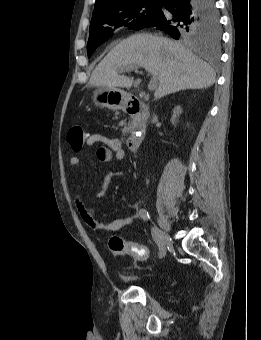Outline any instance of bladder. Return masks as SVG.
<instances>
[{
  "instance_id": "obj_1",
  "label": "bladder",
  "mask_w": 261,
  "mask_h": 340,
  "mask_svg": "<svg viewBox=\"0 0 261 340\" xmlns=\"http://www.w3.org/2000/svg\"><path fill=\"white\" fill-rule=\"evenodd\" d=\"M122 277H123L124 279H126V280H136V279H137L136 276L123 275Z\"/></svg>"
}]
</instances>
